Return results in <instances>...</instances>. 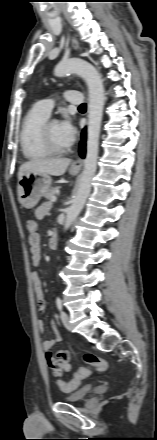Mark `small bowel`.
I'll return each mask as SVG.
<instances>
[{
  "label": "small bowel",
  "mask_w": 157,
  "mask_h": 440,
  "mask_svg": "<svg viewBox=\"0 0 157 440\" xmlns=\"http://www.w3.org/2000/svg\"><path fill=\"white\" fill-rule=\"evenodd\" d=\"M50 209L51 203H44L36 209L35 215L38 219H42L47 215ZM28 242L30 246L32 263L34 264V266H38L41 261V238L39 233L29 235ZM31 280L35 302L40 312L42 313L45 310L46 302L44 298L42 282L36 271L32 273ZM51 325L54 338L46 340L43 343L45 358L48 367L51 368L53 371V376L55 378H62L64 374L69 372L72 368L70 363L71 353L68 350H60L56 356L53 355L51 349L56 343L62 340V336L59 326L54 321H51ZM37 327L40 334H44L45 324L42 319L38 320Z\"/></svg>",
  "instance_id": "1"
}]
</instances>
